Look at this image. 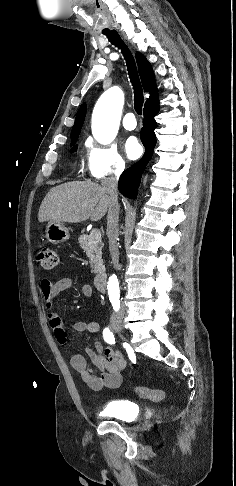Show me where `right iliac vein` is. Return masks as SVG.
<instances>
[{
	"instance_id": "obj_1",
	"label": "right iliac vein",
	"mask_w": 236,
	"mask_h": 486,
	"mask_svg": "<svg viewBox=\"0 0 236 486\" xmlns=\"http://www.w3.org/2000/svg\"><path fill=\"white\" fill-rule=\"evenodd\" d=\"M111 325L114 331L121 333L123 330L122 321L120 319H112Z\"/></svg>"
}]
</instances>
